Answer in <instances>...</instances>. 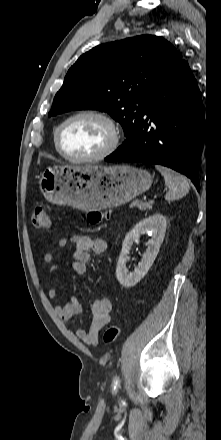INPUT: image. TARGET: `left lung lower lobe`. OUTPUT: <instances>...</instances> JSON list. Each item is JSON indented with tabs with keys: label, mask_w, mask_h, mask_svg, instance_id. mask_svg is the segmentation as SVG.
<instances>
[{
	"label": "left lung lower lobe",
	"mask_w": 221,
	"mask_h": 440,
	"mask_svg": "<svg viewBox=\"0 0 221 440\" xmlns=\"http://www.w3.org/2000/svg\"><path fill=\"white\" fill-rule=\"evenodd\" d=\"M149 121L154 124L151 129ZM204 144L201 94L183 60L149 100L131 138L105 160L167 166L186 175L199 190L198 166Z\"/></svg>",
	"instance_id": "left-lung-lower-lobe-1"
}]
</instances>
